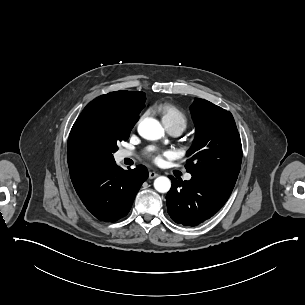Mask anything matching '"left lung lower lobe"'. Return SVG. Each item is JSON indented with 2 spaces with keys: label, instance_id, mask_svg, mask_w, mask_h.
Wrapping results in <instances>:
<instances>
[{
  "label": "left lung lower lobe",
  "instance_id": "obj_1",
  "mask_svg": "<svg viewBox=\"0 0 305 305\" xmlns=\"http://www.w3.org/2000/svg\"><path fill=\"white\" fill-rule=\"evenodd\" d=\"M172 187L167 193V210L176 223L197 226L219 211L235 182L192 176L189 181L169 176Z\"/></svg>",
  "mask_w": 305,
  "mask_h": 305
}]
</instances>
